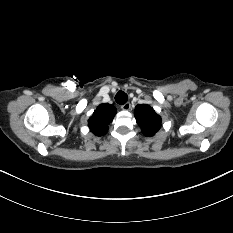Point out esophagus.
<instances>
[{"label": "esophagus", "mask_w": 233, "mask_h": 233, "mask_svg": "<svg viewBox=\"0 0 233 233\" xmlns=\"http://www.w3.org/2000/svg\"><path fill=\"white\" fill-rule=\"evenodd\" d=\"M130 108H131V104L129 102H127L121 106V109L124 111L130 110Z\"/></svg>", "instance_id": "34e87169"}]
</instances>
